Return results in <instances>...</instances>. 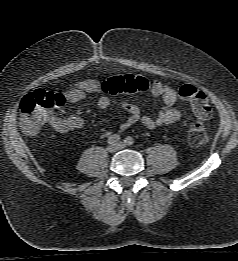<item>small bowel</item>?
I'll use <instances>...</instances> for the list:
<instances>
[{
	"instance_id": "1",
	"label": "small bowel",
	"mask_w": 238,
	"mask_h": 261,
	"mask_svg": "<svg viewBox=\"0 0 238 261\" xmlns=\"http://www.w3.org/2000/svg\"><path fill=\"white\" fill-rule=\"evenodd\" d=\"M150 91L154 97L160 98L163 107L155 117L143 114L140 108L128 101H114L102 90V83L96 79H84L70 84L59 95L65 101L78 102L85 99L90 94H98L96 105L100 109H108L115 105L127 112L126 119L121 123L120 130L124 131L140 122L149 129L159 126H170L178 122L181 118V111L175 106L179 102V95L174 88L159 81H154L150 86ZM49 124L59 132L67 133L72 130L84 127V120L78 115L61 117L49 113L47 117Z\"/></svg>"
}]
</instances>
